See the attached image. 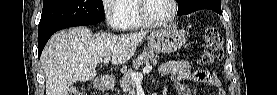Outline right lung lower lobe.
I'll use <instances>...</instances> for the list:
<instances>
[{
	"instance_id": "right-lung-lower-lobe-1",
	"label": "right lung lower lobe",
	"mask_w": 277,
	"mask_h": 95,
	"mask_svg": "<svg viewBox=\"0 0 277 95\" xmlns=\"http://www.w3.org/2000/svg\"><path fill=\"white\" fill-rule=\"evenodd\" d=\"M97 23L98 22H86V23H82V24H55V25H50L48 27L38 29V54H39V57H40L41 52H42L44 46L46 45L48 39L56 31H58L60 29L68 28V27L81 26V25H94Z\"/></svg>"
}]
</instances>
